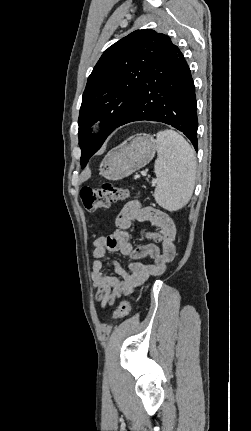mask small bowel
<instances>
[{"mask_svg": "<svg viewBox=\"0 0 251 431\" xmlns=\"http://www.w3.org/2000/svg\"><path fill=\"white\" fill-rule=\"evenodd\" d=\"M133 222H148L154 227L153 232L146 233L152 243L133 248L127 229ZM117 229L109 235L98 237L94 241L92 279L95 287V300L103 309L113 306L118 299L130 295L135 288L143 285L151 276L164 273L168 263L176 255V226L166 213L142 207L137 201L126 203L116 218ZM107 252H119L132 261L128 271L113 261L116 276L103 270L102 259ZM150 257L152 264L139 260Z\"/></svg>", "mask_w": 251, "mask_h": 431, "instance_id": "c3829d8e", "label": "small bowel"}]
</instances>
